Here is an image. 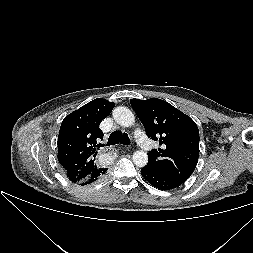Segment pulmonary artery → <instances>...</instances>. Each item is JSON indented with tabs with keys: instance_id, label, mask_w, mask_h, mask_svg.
Returning a JSON list of instances; mask_svg holds the SVG:
<instances>
[{
	"instance_id": "1",
	"label": "pulmonary artery",
	"mask_w": 253,
	"mask_h": 253,
	"mask_svg": "<svg viewBox=\"0 0 253 253\" xmlns=\"http://www.w3.org/2000/svg\"><path fill=\"white\" fill-rule=\"evenodd\" d=\"M134 137L137 143L144 149L148 150L151 147L150 140L146 137L145 133L140 129L137 128L134 132Z\"/></svg>"
}]
</instances>
